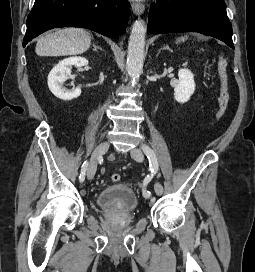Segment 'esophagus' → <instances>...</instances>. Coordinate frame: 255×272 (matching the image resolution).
<instances>
[{
    "mask_svg": "<svg viewBox=\"0 0 255 272\" xmlns=\"http://www.w3.org/2000/svg\"><path fill=\"white\" fill-rule=\"evenodd\" d=\"M131 7H132L134 14H136V15H141L145 10V6L142 3L133 2Z\"/></svg>",
    "mask_w": 255,
    "mask_h": 272,
    "instance_id": "esophagus-1",
    "label": "esophagus"
}]
</instances>
